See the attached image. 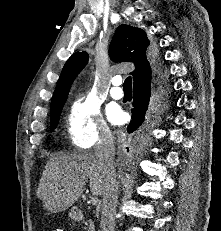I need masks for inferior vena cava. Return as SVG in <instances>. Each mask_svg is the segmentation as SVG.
Wrapping results in <instances>:
<instances>
[{"mask_svg":"<svg viewBox=\"0 0 221 231\" xmlns=\"http://www.w3.org/2000/svg\"><path fill=\"white\" fill-rule=\"evenodd\" d=\"M94 151L95 157L105 175V186L102 192L100 228L101 231H114L115 213L118 203V181L114 162V140L110 130L105 129L100 133L99 141Z\"/></svg>","mask_w":221,"mask_h":231,"instance_id":"inferior-vena-cava-1","label":"inferior vena cava"}]
</instances>
